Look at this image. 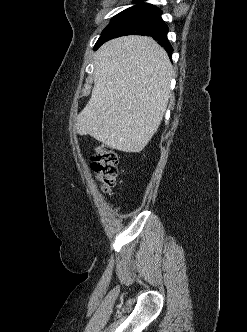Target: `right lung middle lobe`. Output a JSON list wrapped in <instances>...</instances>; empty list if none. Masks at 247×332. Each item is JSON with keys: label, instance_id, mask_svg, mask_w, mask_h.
I'll list each match as a JSON object with an SVG mask.
<instances>
[{"label": "right lung middle lobe", "instance_id": "1", "mask_svg": "<svg viewBox=\"0 0 247 332\" xmlns=\"http://www.w3.org/2000/svg\"><path fill=\"white\" fill-rule=\"evenodd\" d=\"M142 0H134V2L136 3V5L120 12L119 14H117L110 22V24L103 30V32L109 28L112 24H114L115 22H117L119 19H121L122 17H124L125 15L129 14L130 12L138 9L139 7L145 5V3H140ZM102 32V34H103Z\"/></svg>", "mask_w": 247, "mask_h": 332}]
</instances>
